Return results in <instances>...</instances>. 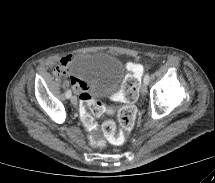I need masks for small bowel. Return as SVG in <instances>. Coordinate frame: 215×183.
Wrapping results in <instances>:
<instances>
[{"label": "small bowel", "mask_w": 215, "mask_h": 183, "mask_svg": "<svg viewBox=\"0 0 215 183\" xmlns=\"http://www.w3.org/2000/svg\"><path fill=\"white\" fill-rule=\"evenodd\" d=\"M73 58H74L73 55H67V56L63 57L58 62L57 66L55 67L54 73L60 74L58 72L59 70H63L65 72L67 70V68L69 67V65L71 64V61ZM127 67L133 76L137 77L138 79H140L142 77L143 72H144V67L141 64L128 63ZM71 84H72L74 90L80 95V97L83 94L89 95L88 94V84L84 80H82L76 76H72Z\"/></svg>", "instance_id": "c3829d8e"}]
</instances>
